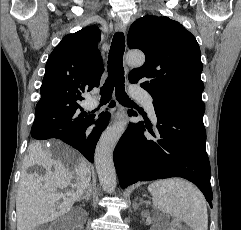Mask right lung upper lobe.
I'll list each match as a JSON object with an SVG mask.
<instances>
[{
  "mask_svg": "<svg viewBox=\"0 0 241 230\" xmlns=\"http://www.w3.org/2000/svg\"><path fill=\"white\" fill-rule=\"evenodd\" d=\"M101 32L96 26L66 35L50 54L36 111L73 106L82 93L99 86L104 71L98 50Z\"/></svg>",
  "mask_w": 241,
  "mask_h": 230,
  "instance_id": "cb5924a9",
  "label": "right lung upper lobe"
}]
</instances>
